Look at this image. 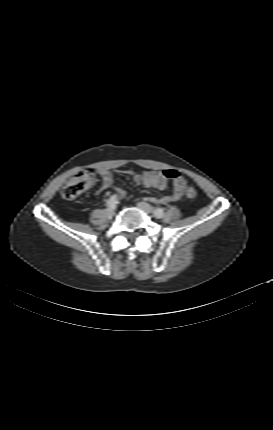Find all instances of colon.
Masks as SVG:
<instances>
[{
    "label": "colon",
    "instance_id": "obj_1",
    "mask_svg": "<svg viewBox=\"0 0 273 430\" xmlns=\"http://www.w3.org/2000/svg\"><path fill=\"white\" fill-rule=\"evenodd\" d=\"M97 181V176L92 171H81L74 175L64 186L62 197L66 200H72L91 188ZM197 191L190 187L186 191V196L189 199L195 198Z\"/></svg>",
    "mask_w": 273,
    "mask_h": 430
}]
</instances>
